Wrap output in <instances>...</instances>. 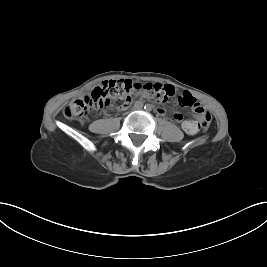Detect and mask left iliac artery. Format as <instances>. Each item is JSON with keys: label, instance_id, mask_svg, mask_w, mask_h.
<instances>
[{"label": "left iliac artery", "instance_id": "1", "mask_svg": "<svg viewBox=\"0 0 267 267\" xmlns=\"http://www.w3.org/2000/svg\"><path fill=\"white\" fill-rule=\"evenodd\" d=\"M144 109L150 111L152 109V106L150 104H147L144 106Z\"/></svg>", "mask_w": 267, "mask_h": 267}]
</instances>
